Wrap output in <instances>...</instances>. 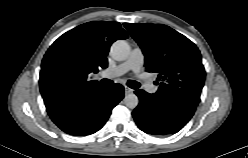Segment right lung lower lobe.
<instances>
[{
  "label": "right lung lower lobe",
  "mask_w": 248,
  "mask_h": 158,
  "mask_svg": "<svg viewBox=\"0 0 248 158\" xmlns=\"http://www.w3.org/2000/svg\"><path fill=\"white\" fill-rule=\"evenodd\" d=\"M124 87H96L59 104L46 107L52 121L64 132L83 136L98 131L112 109L123 99Z\"/></svg>",
  "instance_id": "obj_1"
}]
</instances>
